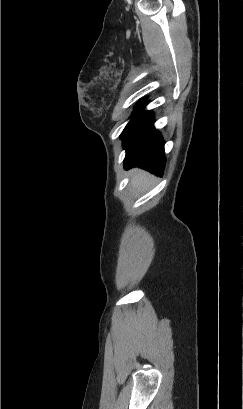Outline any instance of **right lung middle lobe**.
<instances>
[{
	"mask_svg": "<svg viewBox=\"0 0 243 409\" xmlns=\"http://www.w3.org/2000/svg\"><path fill=\"white\" fill-rule=\"evenodd\" d=\"M145 102V99L141 100L140 103L135 107L134 113L142 106V104Z\"/></svg>",
	"mask_w": 243,
	"mask_h": 409,
	"instance_id": "right-lung-middle-lobe-1",
	"label": "right lung middle lobe"
}]
</instances>
